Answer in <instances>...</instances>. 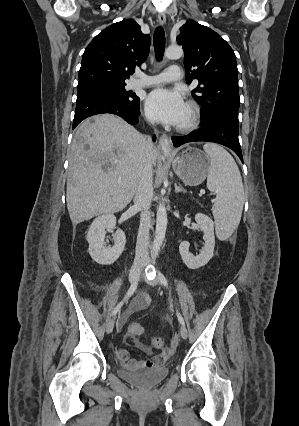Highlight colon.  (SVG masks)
I'll use <instances>...</instances> for the list:
<instances>
[{
  "instance_id": "colon-1",
  "label": "colon",
  "mask_w": 299,
  "mask_h": 426,
  "mask_svg": "<svg viewBox=\"0 0 299 426\" xmlns=\"http://www.w3.org/2000/svg\"><path fill=\"white\" fill-rule=\"evenodd\" d=\"M128 332L133 337H139L143 334L144 329L142 325L138 322H133L128 327ZM152 345L163 352H169V349L164 345V342L161 338L156 337L152 339Z\"/></svg>"
}]
</instances>
